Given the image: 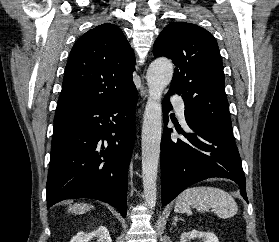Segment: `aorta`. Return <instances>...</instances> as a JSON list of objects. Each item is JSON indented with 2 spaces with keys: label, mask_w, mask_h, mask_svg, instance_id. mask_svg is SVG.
Returning a JSON list of instances; mask_svg holds the SVG:
<instances>
[{
  "label": "aorta",
  "mask_w": 279,
  "mask_h": 242,
  "mask_svg": "<svg viewBox=\"0 0 279 242\" xmlns=\"http://www.w3.org/2000/svg\"><path fill=\"white\" fill-rule=\"evenodd\" d=\"M173 65L167 58L155 59L147 70L149 97L144 111L142 126V180L145 203L149 208L156 205L157 174L162 134L163 90L173 77Z\"/></svg>",
  "instance_id": "obj_1"
}]
</instances>
